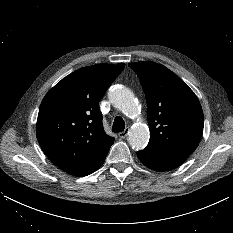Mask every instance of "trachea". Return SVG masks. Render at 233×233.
<instances>
[{
  "mask_svg": "<svg viewBox=\"0 0 233 233\" xmlns=\"http://www.w3.org/2000/svg\"><path fill=\"white\" fill-rule=\"evenodd\" d=\"M125 129V122L121 117H116L113 126L112 131L113 132H122Z\"/></svg>",
  "mask_w": 233,
  "mask_h": 233,
  "instance_id": "trachea-1",
  "label": "trachea"
}]
</instances>
